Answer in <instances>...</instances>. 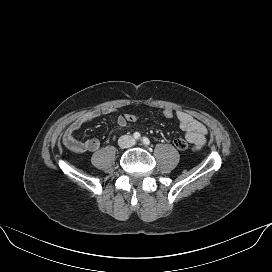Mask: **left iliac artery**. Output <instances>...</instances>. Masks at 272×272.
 I'll return each mask as SVG.
<instances>
[{
    "label": "left iliac artery",
    "instance_id": "left-iliac-artery-1",
    "mask_svg": "<svg viewBox=\"0 0 272 272\" xmlns=\"http://www.w3.org/2000/svg\"><path fill=\"white\" fill-rule=\"evenodd\" d=\"M142 142L144 145L148 146L150 144V140L147 137L142 138Z\"/></svg>",
    "mask_w": 272,
    "mask_h": 272
}]
</instances>
